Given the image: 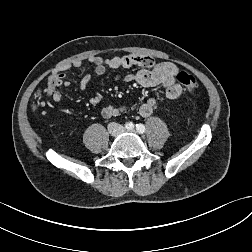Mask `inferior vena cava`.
<instances>
[{"label": "inferior vena cava", "instance_id": "602c4592", "mask_svg": "<svg viewBox=\"0 0 252 252\" xmlns=\"http://www.w3.org/2000/svg\"><path fill=\"white\" fill-rule=\"evenodd\" d=\"M108 130H109V133H111L112 135L116 136V135L122 133L124 129L118 123H110L108 125Z\"/></svg>", "mask_w": 252, "mask_h": 252}]
</instances>
